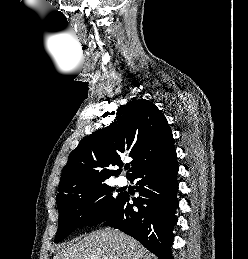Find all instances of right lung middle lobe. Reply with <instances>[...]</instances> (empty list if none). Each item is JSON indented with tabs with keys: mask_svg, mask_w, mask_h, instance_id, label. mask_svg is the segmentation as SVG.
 <instances>
[{
	"mask_svg": "<svg viewBox=\"0 0 248 259\" xmlns=\"http://www.w3.org/2000/svg\"><path fill=\"white\" fill-rule=\"evenodd\" d=\"M114 191L107 182H101L76 187L57 198L59 222L54 242H60L77 228L96 225L111 218L125 194L116 195Z\"/></svg>",
	"mask_w": 248,
	"mask_h": 259,
	"instance_id": "1",
	"label": "right lung middle lobe"
}]
</instances>
